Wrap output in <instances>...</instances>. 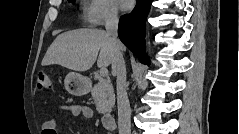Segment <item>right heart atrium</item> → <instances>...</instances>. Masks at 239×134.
Listing matches in <instances>:
<instances>
[{
	"label": "right heart atrium",
	"instance_id": "obj_1",
	"mask_svg": "<svg viewBox=\"0 0 239 134\" xmlns=\"http://www.w3.org/2000/svg\"><path fill=\"white\" fill-rule=\"evenodd\" d=\"M83 17L90 26H101L118 19V9L113 0H88L83 8Z\"/></svg>",
	"mask_w": 239,
	"mask_h": 134
}]
</instances>
